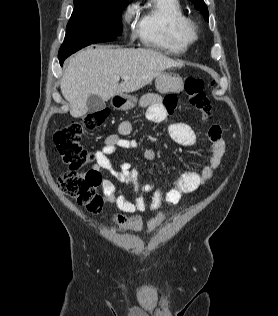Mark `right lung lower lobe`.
<instances>
[{"label":"right lung lower lobe","instance_id":"obj_1","mask_svg":"<svg viewBox=\"0 0 278 316\" xmlns=\"http://www.w3.org/2000/svg\"><path fill=\"white\" fill-rule=\"evenodd\" d=\"M64 60H65V59H59L60 65L63 64Z\"/></svg>","mask_w":278,"mask_h":316}]
</instances>
